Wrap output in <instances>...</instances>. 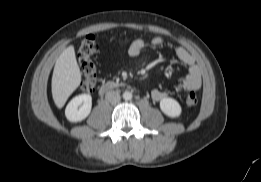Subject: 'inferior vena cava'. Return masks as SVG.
I'll use <instances>...</instances> for the list:
<instances>
[{"instance_id": "1", "label": "inferior vena cava", "mask_w": 261, "mask_h": 182, "mask_svg": "<svg viewBox=\"0 0 261 182\" xmlns=\"http://www.w3.org/2000/svg\"><path fill=\"white\" fill-rule=\"evenodd\" d=\"M105 99L111 104H116L120 101L121 97L117 91H108L105 95Z\"/></svg>"}]
</instances>
